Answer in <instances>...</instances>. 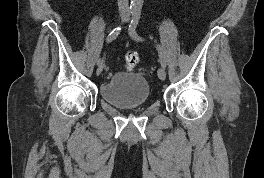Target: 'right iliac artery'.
Masks as SVG:
<instances>
[{
  "instance_id": "1",
  "label": "right iliac artery",
  "mask_w": 264,
  "mask_h": 178,
  "mask_svg": "<svg viewBox=\"0 0 264 178\" xmlns=\"http://www.w3.org/2000/svg\"><path fill=\"white\" fill-rule=\"evenodd\" d=\"M121 29H122V26L120 25V26H118V27H116L115 29H113L111 32H110V34L108 35V37H107V43H110V42H112L113 40H115L117 37H118V35L120 34V32H121ZM103 59H99L98 60V62H97V64L98 65H101V64H103Z\"/></svg>"
}]
</instances>
